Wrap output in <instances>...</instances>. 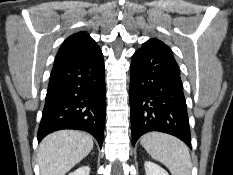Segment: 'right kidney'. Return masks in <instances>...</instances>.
Here are the masks:
<instances>
[{
    "mask_svg": "<svg viewBox=\"0 0 233 175\" xmlns=\"http://www.w3.org/2000/svg\"><path fill=\"white\" fill-rule=\"evenodd\" d=\"M89 172H90L89 166H82L68 175H89Z\"/></svg>",
    "mask_w": 233,
    "mask_h": 175,
    "instance_id": "1",
    "label": "right kidney"
}]
</instances>
